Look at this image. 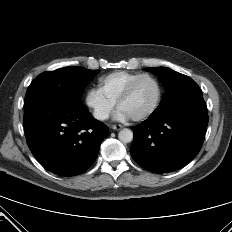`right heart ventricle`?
<instances>
[{
  "label": "right heart ventricle",
  "instance_id": "obj_1",
  "mask_svg": "<svg viewBox=\"0 0 232 232\" xmlns=\"http://www.w3.org/2000/svg\"><path fill=\"white\" fill-rule=\"evenodd\" d=\"M141 73L117 71L110 73L98 81V89L112 103H116L128 85Z\"/></svg>",
  "mask_w": 232,
  "mask_h": 232
}]
</instances>
